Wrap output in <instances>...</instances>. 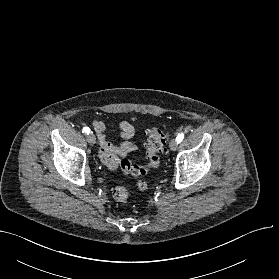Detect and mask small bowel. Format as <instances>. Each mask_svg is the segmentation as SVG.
I'll list each match as a JSON object with an SVG mask.
<instances>
[{"instance_id":"1","label":"small bowel","mask_w":279,"mask_h":279,"mask_svg":"<svg viewBox=\"0 0 279 279\" xmlns=\"http://www.w3.org/2000/svg\"><path fill=\"white\" fill-rule=\"evenodd\" d=\"M116 127L123 139L119 144H113L108 140L107 126L103 121L99 119L93 121V129L99 140L101 161L110 169L117 168L120 159L136 149V146L128 141L134 134L133 125L127 121H122L117 123Z\"/></svg>"}]
</instances>
